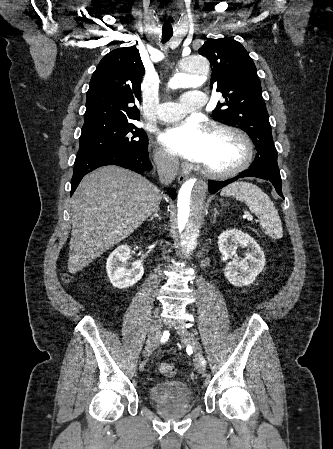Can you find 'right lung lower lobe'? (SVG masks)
<instances>
[{
  "instance_id": "98d812e1",
  "label": "right lung lower lobe",
  "mask_w": 333,
  "mask_h": 449,
  "mask_svg": "<svg viewBox=\"0 0 333 449\" xmlns=\"http://www.w3.org/2000/svg\"><path fill=\"white\" fill-rule=\"evenodd\" d=\"M105 165H118L137 173H149L153 168L148 150L144 153H126L114 150L79 151L74 164L71 195L87 173ZM170 196L172 199L176 198L174 190L170 191Z\"/></svg>"
}]
</instances>
